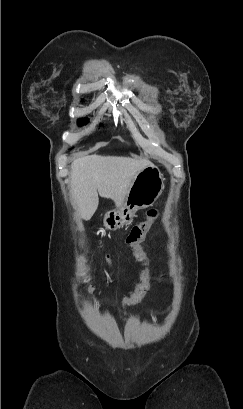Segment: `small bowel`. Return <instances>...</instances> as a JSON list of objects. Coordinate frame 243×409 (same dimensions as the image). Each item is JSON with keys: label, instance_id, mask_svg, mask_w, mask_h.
I'll use <instances>...</instances> for the list:
<instances>
[{"label": "small bowel", "instance_id": "c3829d8e", "mask_svg": "<svg viewBox=\"0 0 243 409\" xmlns=\"http://www.w3.org/2000/svg\"><path fill=\"white\" fill-rule=\"evenodd\" d=\"M141 260H142V258H140ZM105 260H106V262L108 263V264H112V262H113V260H112V257H111V255H109V254H106L105 255ZM141 280H142V282H141V284L139 285V286H143V287H145L146 289L148 288V273H147V271L146 270H143L142 271V273H141Z\"/></svg>", "mask_w": 243, "mask_h": 409}]
</instances>
